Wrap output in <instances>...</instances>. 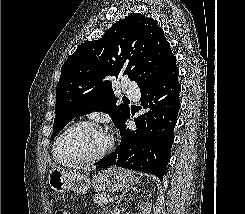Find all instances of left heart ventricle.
<instances>
[{
	"instance_id": "1",
	"label": "left heart ventricle",
	"mask_w": 245,
	"mask_h": 214,
	"mask_svg": "<svg viewBox=\"0 0 245 214\" xmlns=\"http://www.w3.org/2000/svg\"><path fill=\"white\" fill-rule=\"evenodd\" d=\"M106 144L104 134L92 126H79L60 141L57 154L63 160H76L96 155Z\"/></svg>"
}]
</instances>
